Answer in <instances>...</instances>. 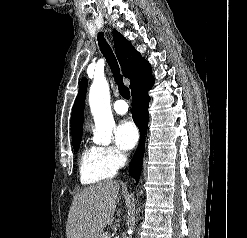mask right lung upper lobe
Returning a JSON list of instances; mask_svg holds the SVG:
<instances>
[{
	"mask_svg": "<svg viewBox=\"0 0 247 238\" xmlns=\"http://www.w3.org/2000/svg\"><path fill=\"white\" fill-rule=\"evenodd\" d=\"M113 39L116 56L121 65L123 74L129 78L131 92L145 83L151 76V66L148 61L141 57L129 41L119 32L113 30ZM87 79L83 78L79 86V93L76 98L71 115V132L73 143L81 140L84 120V101L87 89Z\"/></svg>",
	"mask_w": 247,
	"mask_h": 238,
	"instance_id": "1",
	"label": "right lung upper lobe"
}]
</instances>
